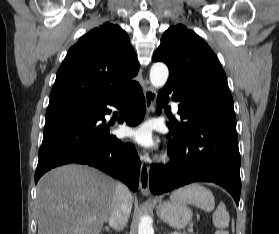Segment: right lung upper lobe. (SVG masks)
<instances>
[{"label":"right lung upper lobe","instance_id":"cb5924a9","mask_svg":"<svg viewBox=\"0 0 279 234\" xmlns=\"http://www.w3.org/2000/svg\"><path fill=\"white\" fill-rule=\"evenodd\" d=\"M139 63L127 33L104 23L83 35L68 51L50 93L48 108L95 107L135 81Z\"/></svg>","mask_w":279,"mask_h":234}]
</instances>
